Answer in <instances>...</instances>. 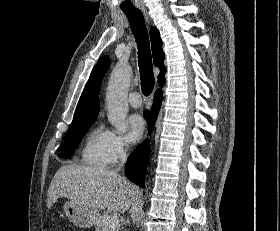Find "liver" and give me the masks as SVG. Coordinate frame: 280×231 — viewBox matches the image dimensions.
Wrapping results in <instances>:
<instances>
[{
  "label": "liver",
  "mask_w": 280,
  "mask_h": 231,
  "mask_svg": "<svg viewBox=\"0 0 280 231\" xmlns=\"http://www.w3.org/2000/svg\"><path fill=\"white\" fill-rule=\"evenodd\" d=\"M136 193V185L113 169L70 163L56 171L48 189L47 207L50 209L58 197H69L89 207L97 221L100 209L105 207L108 211L125 213Z\"/></svg>",
  "instance_id": "1"
}]
</instances>
